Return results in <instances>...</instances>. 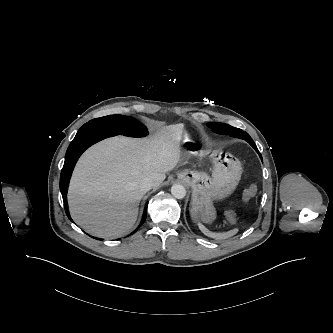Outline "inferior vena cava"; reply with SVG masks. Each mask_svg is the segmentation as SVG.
<instances>
[{
	"instance_id": "obj_1",
	"label": "inferior vena cava",
	"mask_w": 333,
	"mask_h": 333,
	"mask_svg": "<svg viewBox=\"0 0 333 333\" xmlns=\"http://www.w3.org/2000/svg\"><path fill=\"white\" fill-rule=\"evenodd\" d=\"M152 187L153 182L149 178L142 179L138 184L139 190L143 193L149 191Z\"/></svg>"
}]
</instances>
